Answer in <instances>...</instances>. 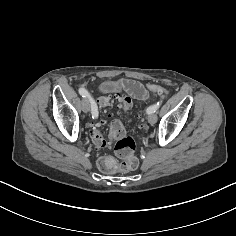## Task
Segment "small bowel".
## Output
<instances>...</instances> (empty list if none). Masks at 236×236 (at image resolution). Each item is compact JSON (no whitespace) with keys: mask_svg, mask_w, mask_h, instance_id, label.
I'll return each instance as SVG.
<instances>
[{"mask_svg":"<svg viewBox=\"0 0 236 236\" xmlns=\"http://www.w3.org/2000/svg\"><path fill=\"white\" fill-rule=\"evenodd\" d=\"M120 82L123 88L134 97L138 99H147L149 97L148 93L143 88H141V85L138 84L137 82L132 81V80H125V79L121 80ZM133 84H137L140 88L136 91H132L130 89V86Z\"/></svg>","mask_w":236,"mask_h":236,"instance_id":"obj_1","label":"small bowel"}]
</instances>
